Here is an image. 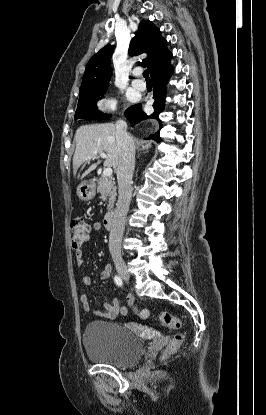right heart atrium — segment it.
Masks as SVG:
<instances>
[{
	"mask_svg": "<svg viewBox=\"0 0 266 415\" xmlns=\"http://www.w3.org/2000/svg\"><path fill=\"white\" fill-rule=\"evenodd\" d=\"M98 106L102 110H114L116 107V99L108 98L101 100Z\"/></svg>",
	"mask_w": 266,
	"mask_h": 415,
	"instance_id": "right-heart-atrium-1",
	"label": "right heart atrium"
}]
</instances>
